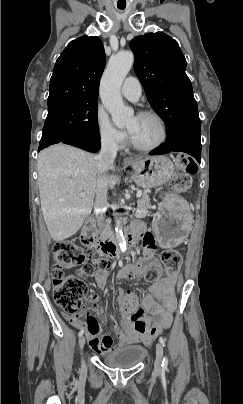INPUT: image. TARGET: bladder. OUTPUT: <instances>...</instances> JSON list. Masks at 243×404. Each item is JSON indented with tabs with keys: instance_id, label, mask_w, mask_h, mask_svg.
<instances>
[{
	"instance_id": "1",
	"label": "bladder",
	"mask_w": 243,
	"mask_h": 404,
	"mask_svg": "<svg viewBox=\"0 0 243 404\" xmlns=\"http://www.w3.org/2000/svg\"><path fill=\"white\" fill-rule=\"evenodd\" d=\"M146 355V348L138 344H131L109 351L102 356V361L112 369H132L140 364Z\"/></svg>"
}]
</instances>
